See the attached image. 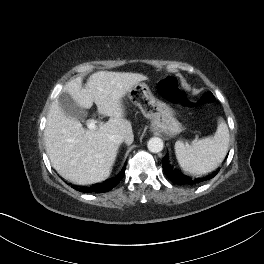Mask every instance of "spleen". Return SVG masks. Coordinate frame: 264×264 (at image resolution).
<instances>
[{"instance_id":"obj_1","label":"spleen","mask_w":264,"mask_h":264,"mask_svg":"<svg viewBox=\"0 0 264 264\" xmlns=\"http://www.w3.org/2000/svg\"><path fill=\"white\" fill-rule=\"evenodd\" d=\"M229 146V130L221 120L213 137L193 141L191 145L176 141L175 153L182 170L205 174L215 170L225 158Z\"/></svg>"}]
</instances>
